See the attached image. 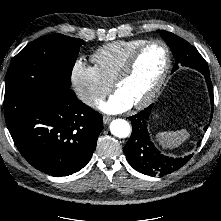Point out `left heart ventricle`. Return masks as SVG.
Masks as SVG:
<instances>
[{"instance_id":"b2bd125f","label":"left heart ventricle","mask_w":221,"mask_h":221,"mask_svg":"<svg viewBox=\"0 0 221 221\" xmlns=\"http://www.w3.org/2000/svg\"><path fill=\"white\" fill-rule=\"evenodd\" d=\"M166 62L164 48L159 44L147 47L139 56L132 74L118 90L133 104L144 99L157 84Z\"/></svg>"}]
</instances>
